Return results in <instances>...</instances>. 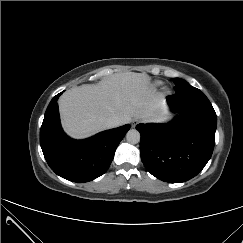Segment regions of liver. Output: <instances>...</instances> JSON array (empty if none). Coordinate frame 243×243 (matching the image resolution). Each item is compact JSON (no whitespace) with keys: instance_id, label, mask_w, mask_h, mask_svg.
<instances>
[{"instance_id":"6515ba94","label":"liver","mask_w":243,"mask_h":243,"mask_svg":"<svg viewBox=\"0 0 243 243\" xmlns=\"http://www.w3.org/2000/svg\"><path fill=\"white\" fill-rule=\"evenodd\" d=\"M150 80L145 73H116L97 84L66 91L59 99L64 130L74 138H85L107 129L110 117H118L121 125L133 118L160 120L166 114L164 95L156 92Z\"/></svg>"}]
</instances>
